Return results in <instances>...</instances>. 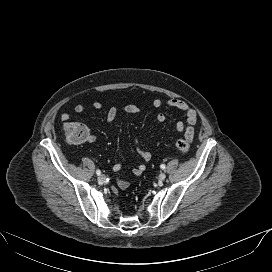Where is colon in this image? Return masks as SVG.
<instances>
[{"instance_id": "5ec220e1", "label": "colon", "mask_w": 272, "mask_h": 272, "mask_svg": "<svg viewBox=\"0 0 272 272\" xmlns=\"http://www.w3.org/2000/svg\"><path fill=\"white\" fill-rule=\"evenodd\" d=\"M63 130L68 140L74 143H82L89 139V132L85 126L74 122H65ZM191 136L190 133L184 138L178 139L176 147L181 153H187L190 149Z\"/></svg>"}]
</instances>
